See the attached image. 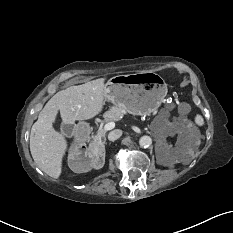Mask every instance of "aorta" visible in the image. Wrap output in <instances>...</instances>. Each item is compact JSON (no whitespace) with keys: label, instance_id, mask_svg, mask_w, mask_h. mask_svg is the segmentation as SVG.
<instances>
[{"label":"aorta","instance_id":"1","mask_svg":"<svg viewBox=\"0 0 233 233\" xmlns=\"http://www.w3.org/2000/svg\"><path fill=\"white\" fill-rule=\"evenodd\" d=\"M152 144V139L150 136H142L139 139V145L143 148H148Z\"/></svg>","mask_w":233,"mask_h":233}]
</instances>
